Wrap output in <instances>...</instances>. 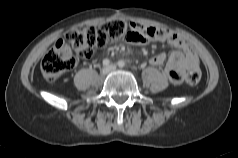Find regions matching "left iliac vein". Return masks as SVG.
<instances>
[{
    "mask_svg": "<svg viewBox=\"0 0 238 158\" xmlns=\"http://www.w3.org/2000/svg\"><path fill=\"white\" fill-rule=\"evenodd\" d=\"M117 69L116 65L114 64H111L109 67H108V70L109 71H115Z\"/></svg>",
    "mask_w": 238,
    "mask_h": 158,
    "instance_id": "left-iliac-vein-1",
    "label": "left iliac vein"
}]
</instances>
